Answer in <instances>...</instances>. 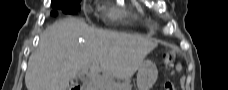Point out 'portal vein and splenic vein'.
<instances>
[{
    "label": "portal vein and splenic vein",
    "mask_w": 228,
    "mask_h": 90,
    "mask_svg": "<svg viewBox=\"0 0 228 90\" xmlns=\"http://www.w3.org/2000/svg\"><path fill=\"white\" fill-rule=\"evenodd\" d=\"M90 69V72H89ZM96 71L95 67H86L81 72L86 74L90 79H96L97 77L94 75V72Z\"/></svg>",
    "instance_id": "1"
}]
</instances>
